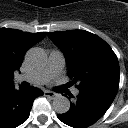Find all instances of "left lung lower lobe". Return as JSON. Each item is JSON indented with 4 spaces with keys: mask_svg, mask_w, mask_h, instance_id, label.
Segmentation results:
<instances>
[{
    "mask_svg": "<svg viewBox=\"0 0 128 128\" xmlns=\"http://www.w3.org/2000/svg\"><path fill=\"white\" fill-rule=\"evenodd\" d=\"M116 93L117 90L109 88L79 90V95L76 101L71 103L70 110L64 114H58L57 117L73 128H86L104 115Z\"/></svg>",
    "mask_w": 128,
    "mask_h": 128,
    "instance_id": "left-lung-lower-lobe-1",
    "label": "left lung lower lobe"
}]
</instances>
